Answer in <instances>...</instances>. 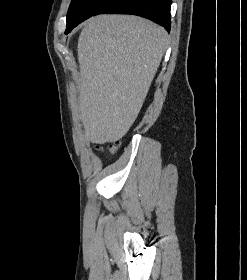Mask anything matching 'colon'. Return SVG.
<instances>
[{"label":"colon","instance_id":"obj_1","mask_svg":"<svg viewBox=\"0 0 247 280\" xmlns=\"http://www.w3.org/2000/svg\"><path fill=\"white\" fill-rule=\"evenodd\" d=\"M118 146H119V143L116 142L113 146L110 147V149L111 150H116Z\"/></svg>","mask_w":247,"mask_h":280}]
</instances>
